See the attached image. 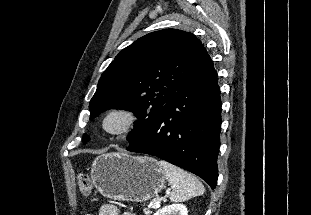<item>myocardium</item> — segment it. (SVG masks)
<instances>
[{"instance_id": "myocardium-1", "label": "myocardium", "mask_w": 311, "mask_h": 215, "mask_svg": "<svg viewBox=\"0 0 311 215\" xmlns=\"http://www.w3.org/2000/svg\"><path fill=\"white\" fill-rule=\"evenodd\" d=\"M113 117L121 119V124L117 128H109L107 122ZM137 123L136 114L127 108L114 107L108 109L101 118V129L109 136L118 137L129 133Z\"/></svg>"}]
</instances>
